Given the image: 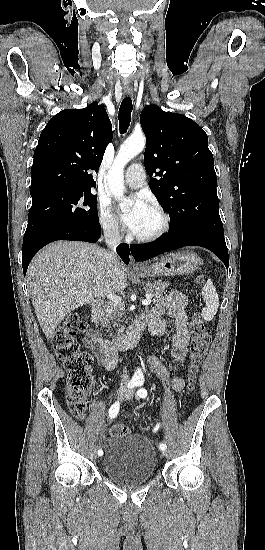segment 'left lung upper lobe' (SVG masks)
Masks as SVG:
<instances>
[{
  "label": "left lung upper lobe",
  "instance_id": "1",
  "mask_svg": "<svg viewBox=\"0 0 265 550\" xmlns=\"http://www.w3.org/2000/svg\"><path fill=\"white\" fill-rule=\"evenodd\" d=\"M140 122L149 187L169 213L170 231L202 228L224 235L207 134L190 118L154 104L143 109Z\"/></svg>",
  "mask_w": 265,
  "mask_h": 550
}]
</instances>
